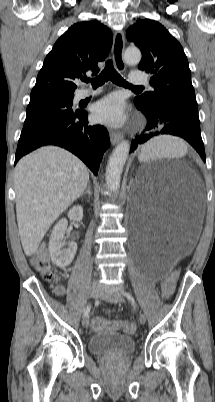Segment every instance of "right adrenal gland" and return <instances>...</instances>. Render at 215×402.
<instances>
[{
  "label": "right adrenal gland",
  "mask_w": 215,
  "mask_h": 402,
  "mask_svg": "<svg viewBox=\"0 0 215 402\" xmlns=\"http://www.w3.org/2000/svg\"><path fill=\"white\" fill-rule=\"evenodd\" d=\"M88 194L89 197H91L92 193H91V184L90 182L87 185V188L85 189V191L81 194V197Z\"/></svg>",
  "instance_id": "right-adrenal-gland-1"
}]
</instances>
